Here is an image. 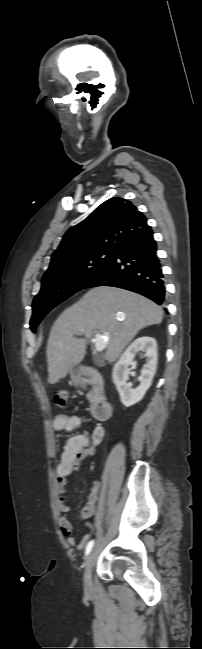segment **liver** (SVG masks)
I'll return each instance as SVG.
<instances>
[{"label": "liver", "instance_id": "obj_1", "mask_svg": "<svg viewBox=\"0 0 202 649\" xmlns=\"http://www.w3.org/2000/svg\"><path fill=\"white\" fill-rule=\"evenodd\" d=\"M162 319V308L135 292L106 286L89 290L52 326L46 348L48 382L56 384L83 360L94 334L107 336L105 358L113 362L140 329L160 324Z\"/></svg>", "mask_w": 202, "mask_h": 649}]
</instances>
